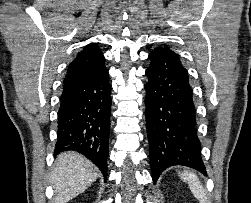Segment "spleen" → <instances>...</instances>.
I'll list each match as a JSON object with an SVG mask.
<instances>
[{"label": "spleen", "mask_w": 251, "mask_h": 203, "mask_svg": "<svg viewBox=\"0 0 251 203\" xmlns=\"http://www.w3.org/2000/svg\"><path fill=\"white\" fill-rule=\"evenodd\" d=\"M181 179L188 183V186L200 203H206L207 197L205 191L198 179L193 172L184 171L180 174Z\"/></svg>", "instance_id": "obj_1"}]
</instances>
